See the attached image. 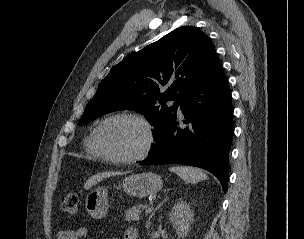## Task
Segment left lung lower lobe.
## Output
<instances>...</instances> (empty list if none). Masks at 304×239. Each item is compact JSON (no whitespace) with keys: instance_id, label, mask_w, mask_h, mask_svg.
<instances>
[{"instance_id":"1","label":"left lung lower lobe","mask_w":304,"mask_h":239,"mask_svg":"<svg viewBox=\"0 0 304 239\" xmlns=\"http://www.w3.org/2000/svg\"><path fill=\"white\" fill-rule=\"evenodd\" d=\"M180 107L186 119L183 123L188 126L181 128L175 115L140 165L176 163L201 167L213 173L226 192L234 131L233 107L217 57Z\"/></svg>"}]
</instances>
